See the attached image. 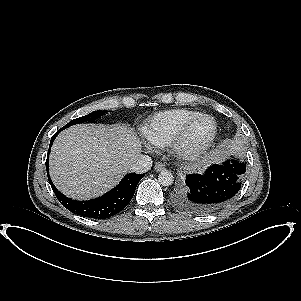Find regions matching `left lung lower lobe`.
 I'll return each instance as SVG.
<instances>
[{
	"label": "left lung lower lobe",
	"instance_id": "1",
	"mask_svg": "<svg viewBox=\"0 0 301 301\" xmlns=\"http://www.w3.org/2000/svg\"><path fill=\"white\" fill-rule=\"evenodd\" d=\"M246 164L234 159L213 164L202 174L187 175L175 193V204L195 214L213 213L234 200L238 194Z\"/></svg>",
	"mask_w": 301,
	"mask_h": 301
}]
</instances>
